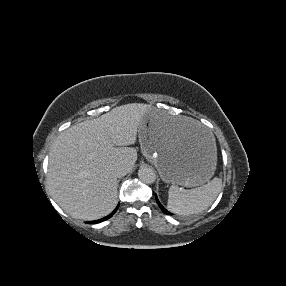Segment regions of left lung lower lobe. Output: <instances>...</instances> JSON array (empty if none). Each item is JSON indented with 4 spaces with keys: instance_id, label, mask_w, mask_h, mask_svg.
Returning a JSON list of instances; mask_svg holds the SVG:
<instances>
[{
    "instance_id": "obj_1",
    "label": "left lung lower lobe",
    "mask_w": 286,
    "mask_h": 286,
    "mask_svg": "<svg viewBox=\"0 0 286 286\" xmlns=\"http://www.w3.org/2000/svg\"><path fill=\"white\" fill-rule=\"evenodd\" d=\"M156 201H157L159 207L161 208V210H162L165 214L171 215V213L168 212V211L160 204V202L158 201L157 196H156Z\"/></svg>"
}]
</instances>
